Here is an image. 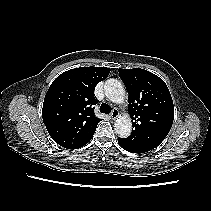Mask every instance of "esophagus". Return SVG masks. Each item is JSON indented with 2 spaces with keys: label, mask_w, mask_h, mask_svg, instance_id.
I'll return each instance as SVG.
<instances>
[{
  "label": "esophagus",
  "mask_w": 211,
  "mask_h": 211,
  "mask_svg": "<svg viewBox=\"0 0 211 211\" xmlns=\"http://www.w3.org/2000/svg\"><path fill=\"white\" fill-rule=\"evenodd\" d=\"M118 116H119V111L117 109H113L111 114H110V118L112 120H115Z\"/></svg>",
  "instance_id": "esophagus-1"
}]
</instances>
